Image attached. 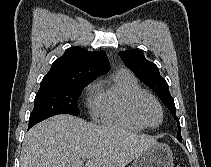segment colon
<instances>
[{"label":"colon","instance_id":"obj_1","mask_svg":"<svg viewBox=\"0 0 211 167\" xmlns=\"http://www.w3.org/2000/svg\"><path fill=\"white\" fill-rule=\"evenodd\" d=\"M177 167H186L184 164H179Z\"/></svg>","mask_w":211,"mask_h":167}]
</instances>
